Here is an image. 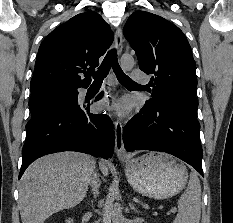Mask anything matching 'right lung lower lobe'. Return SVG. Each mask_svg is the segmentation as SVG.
Returning <instances> with one entry per match:
<instances>
[{
    "mask_svg": "<svg viewBox=\"0 0 233 223\" xmlns=\"http://www.w3.org/2000/svg\"><path fill=\"white\" fill-rule=\"evenodd\" d=\"M78 88H64L50 98L59 108L31 116L26 125L19 179L34 160L50 153L78 151L106 159L112 157L113 123L105 114L90 113V103L78 102ZM101 97L102 94L97 96L96 101Z\"/></svg>",
    "mask_w": 233,
    "mask_h": 223,
    "instance_id": "obj_1",
    "label": "right lung lower lobe"
}]
</instances>
